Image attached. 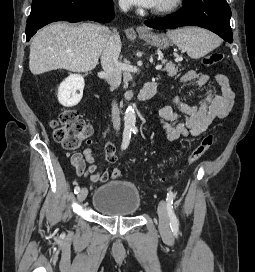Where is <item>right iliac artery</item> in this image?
<instances>
[{
	"label": "right iliac artery",
	"mask_w": 255,
	"mask_h": 272,
	"mask_svg": "<svg viewBox=\"0 0 255 272\" xmlns=\"http://www.w3.org/2000/svg\"><path fill=\"white\" fill-rule=\"evenodd\" d=\"M131 131H132V129H130V128L124 129V132H123V141H122V146H121L122 150L126 149L128 147V145H129L130 138H131ZM79 191H80V187L76 186L74 188V193L78 194Z\"/></svg>",
	"instance_id": "right-iliac-artery-1"
}]
</instances>
